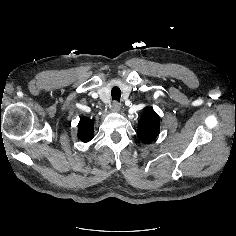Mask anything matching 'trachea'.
Masks as SVG:
<instances>
[{
	"mask_svg": "<svg viewBox=\"0 0 236 236\" xmlns=\"http://www.w3.org/2000/svg\"><path fill=\"white\" fill-rule=\"evenodd\" d=\"M111 96L113 100H116L118 102H120V98H121V90L119 87L115 86L112 88L111 90Z\"/></svg>",
	"mask_w": 236,
	"mask_h": 236,
	"instance_id": "3493384b",
	"label": "trachea"
}]
</instances>
